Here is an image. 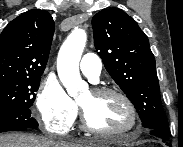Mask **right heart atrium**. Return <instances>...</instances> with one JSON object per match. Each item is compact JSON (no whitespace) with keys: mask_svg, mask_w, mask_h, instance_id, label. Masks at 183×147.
Returning a JSON list of instances; mask_svg holds the SVG:
<instances>
[{"mask_svg":"<svg viewBox=\"0 0 183 147\" xmlns=\"http://www.w3.org/2000/svg\"><path fill=\"white\" fill-rule=\"evenodd\" d=\"M36 107L43 127L56 134L67 133L78 115L76 102L53 77L42 81L36 96Z\"/></svg>","mask_w":183,"mask_h":147,"instance_id":"1","label":"right heart atrium"}]
</instances>
